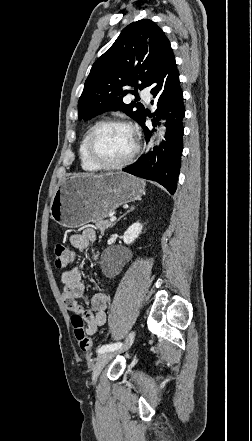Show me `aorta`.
<instances>
[{
  "label": "aorta",
  "mask_w": 252,
  "mask_h": 441,
  "mask_svg": "<svg viewBox=\"0 0 252 441\" xmlns=\"http://www.w3.org/2000/svg\"><path fill=\"white\" fill-rule=\"evenodd\" d=\"M159 139H163V132L160 133Z\"/></svg>",
  "instance_id": "1"
}]
</instances>
